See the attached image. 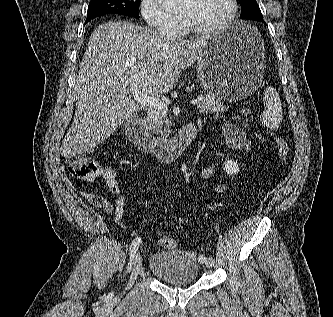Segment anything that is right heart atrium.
Masks as SVG:
<instances>
[{
    "label": "right heart atrium",
    "instance_id": "1",
    "mask_svg": "<svg viewBox=\"0 0 333 317\" xmlns=\"http://www.w3.org/2000/svg\"><path fill=\"white\" fill-rule=\"evenodd\" d=\"M139 11L146 24L158 32L174 35L180 27V20L165 10L158 0H140Z\"/></svg>",
    "mask_w": 333,
    "mask_h": 317
}]
</instances>
